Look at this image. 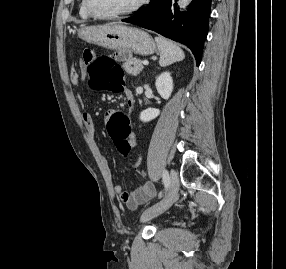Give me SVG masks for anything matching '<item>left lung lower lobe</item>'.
<instances>
[{
    "label": "left lung lower lobe",
    "instance_id": "obj_1",
    "mask_svg": "<svg viewBox=\"0 0 286 269\" xmlns=\"http://www.w3.org/2000/svg\"><path fill=\"white\" fill-rule=\"evenodd\" d=\"M178 0H151L135 16L123 19L150 29L188 46L197 65L200 64L204 40L208 32L211 0H193L188 11L177 9Z\"/></svg>",
    "mask_w": 286,
    "mask_h": 269
}]
</instances>
